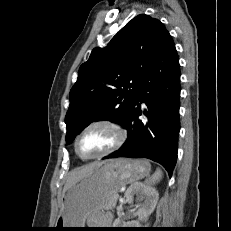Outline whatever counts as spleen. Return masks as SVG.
<instances>
[{
	"instance_id": "spleen-1",
	"label": "spleen",
	"mask_w": 231,
	"mask_h": 231,
	"mask_svg": "<svg viewBox=\"0 0 231 231\" xmlns=\"http://www.w3.org/2000/svg\"><path fill=\"white\" fill-rule=\"evenodd\" d=\"M162 175H163L162 171L158 168V169L155 171V173H154L151 177H149L148 179H146L145 182H146L148 185H153V184H155L156 182H159V181H160V179L162 178Z\"/></svg>"
}]
</instances>
